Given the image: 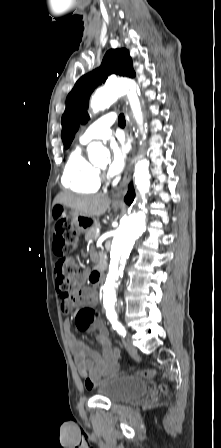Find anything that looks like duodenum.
Instances as JSON below:
<instances>
[{
    "label": "duodenum",
    "mask_w": 221,
    "mask_h": 448,
    "mask_svg": "<svg viewBox=\"0 0 221 448\" xmlns=\"http://www.w3.org/2000/svg\"><path fill=\"white\" fill-rule=\"evenodd\" d=\"M89 278L94 285L101 286L103 283L102 269L93 270Z\"/></svg>",
    "instance_id": "410a0bca"
}]
</instances>
